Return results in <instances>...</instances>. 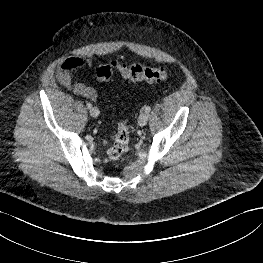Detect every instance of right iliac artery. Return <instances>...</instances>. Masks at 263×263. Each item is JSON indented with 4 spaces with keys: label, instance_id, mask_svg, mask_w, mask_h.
<instances>
[{
    "label": "right iliac artery",
    "instance_id": "obj_1",
    "mask_svg": "<svg viewBox=\"0 0 263 263\" xmlns=\"http://www.w3.org/2000/svg\"><path fill=\"white\" fill-rule=\"evenodd\" d=\"M87 108H88V109H91V108H92V104H91V103H88V104H87Z\"/></svg>",
    "mask_w": 263,
    "mask_h": 263
}]
</instances>
